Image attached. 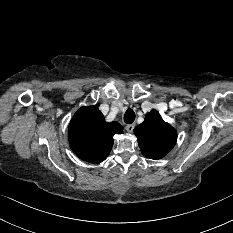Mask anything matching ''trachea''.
I'll return each instance as SVG.
<instances>
[{"instance_id": "obj_1", "label": "trachea", "mask_w": 233, "mask_h": 233, "mask_svg": "<svg viewBox=\"0 0 233 233\" xmlns=\"http://www.w3.org/2000/svg\"><path fill=\"white\" fill-rule=\"evenodd\" d=\"M135 120V113L132 109H128L124 114V122L126 124H131Z\"/></svg>"}]
</instances>
